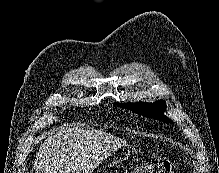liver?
Segmentation results:
<instances>
[{
  "instance_id": "liver-1",
  "label": "liver",
  "mask_w": 219,
  "mask_h": 173,
  "mask_svg": "<svg viewBox=\"0 0 219 173\" xmlns=\"http://www.w3.org/2000/svg\"><path fill=\"white\" fill-rule=\"evenodd\" d=\"M126 145L103 131L63 126L41 144L33 169L35 173H91L111 152Z\"/></svg>"
}]
</instances>
